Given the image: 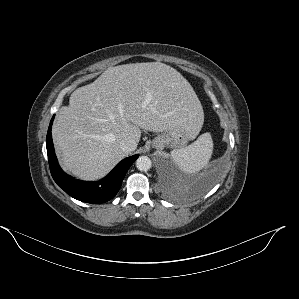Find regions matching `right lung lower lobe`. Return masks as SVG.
<instances>
[{
  "instance_id": "1",
  "label": "right lung lower lobe",
  "mask_w": 299,
  "mask_h": 299,
  "mask_svg": "<svg viewBox=\"0 0 299 299\" xmlns=\"http://www.w3.org/2000/svg\"><path fill=\"white\" fill-rule=\"evenodd\" d=\"M54 116L50 121L46 137L47 154L50 171L54 181L71 197L87 203H104L112 199L119 191L122 181L132 165L138 158L134 155L122 160L103 180L98 182L80 181L66 175L60 168L52 143L51 126Z\"/></svg>"
}]
</instances>
